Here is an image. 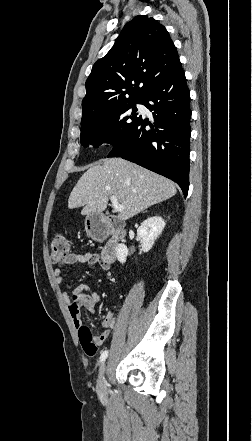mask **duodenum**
Returning <instances> with one entry per match:
<instances>
[{
  "label": "duodenum",
  "instance_id": "1",
  "mask_svg": "<svg viewBox=\"0 0 252 441\" xmlns=\"http://www.w3.org/2000/svg\"><path fill=\"white\" fill-rule=\"evenodd\" d=\"M87 224L89 235L93 240H104L108 238L101 252V258L105 262L111 263L116 258L120 241L126 235L123 224L113 218H110L106 224H103L100 219L91 218Z\"/></svg>",
  "mask_w": 252,
  "mask_h": 441
}]
</instances>
